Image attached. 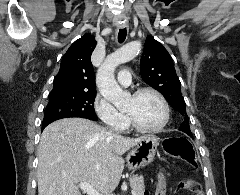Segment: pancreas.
Returning <instances> with one entry per match:
<instances>
[{"instance_id": "pancreas-1", "label": "pancreas", "mask_w": 240, "mask_h": 195, "mask_svg": "<svg viewBox=\"0 0 240 195\" xmlns=\"http://www.w3.org/2000/svg\"><path fill=\"white\" fill-rule=\"evenodd\" d=\"M129 181L134 193H136V195H143L145 191L143 175H133Z\"/></svg>"}]
</instances>
